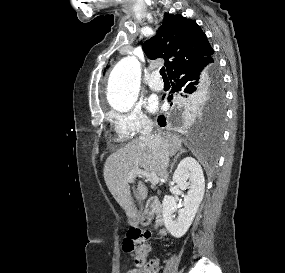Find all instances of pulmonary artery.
I'll return each instance as SVG.
<instances>
[{"label":"pulmonary artery","instance_id":"obj_1","mask_svg":"<svg viewBox=\"0 0 285 273\" xmlns=\"http://www.w3.org/2000/svg\"><path fill=\"white\" fill-rule=\"evenodd\" d=\"M148 85L154 91H161L163 89L164 84L159 78V72L157 70L150 74Z\"/></svg>","mask_w":285,"mask_h":273}]
</instances>
